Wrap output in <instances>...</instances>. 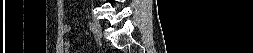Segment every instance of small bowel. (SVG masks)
Masks as SVG:
<instances>
[{
    "mask_svg": "<svg viewBox=\"0 0 253 53\" xmlns=\"http://www.w3.org/2000/svg\"><path fill=\"white\" fill-rule=\"evenodd\" d=\"M70 30H71V27L69 25H64L63 27L64 33H68L70 32ZM66 47H69V44H66Z\"/></svg>",
    "mask_w": 253,
    "mask_h": 53,
    "instance_id": "c3829d8e",
    "label": "small bowel"
}]
</instances>
